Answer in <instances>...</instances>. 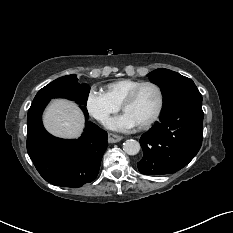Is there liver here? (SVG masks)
Wrapping results in <instances>:
<instances>
[{"instance_id":"1","label":"liver","mask_w":233,"mask_h":233,"mask_svg":"<svg viewBox=\"0 0 233 233\" xmlns=\"http://www.w3.org/2000/svg\"><path fill=\"white\" fill-rule=\"evenodd\" d=\"M46 130L60 138H77L84 127V116L79 107L66 99H54L43 115Z\"/></svg>"}]
</instances>
